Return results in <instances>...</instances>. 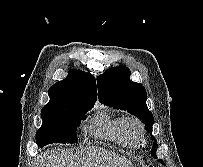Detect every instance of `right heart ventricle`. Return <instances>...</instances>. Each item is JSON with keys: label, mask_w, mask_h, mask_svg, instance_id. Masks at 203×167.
I'll use <instances>...</instances> for the list:
<instances>
[{"label": "right heart ventricle", "mask_w": 203, "mask_h": 167, "mask_svg": "<svg viewBox=\"0 0 203 167\" xmlns=\"http://www.w3.org/2000/svg\"><path fill=\"white\" fill-rule=\"evenodd\" d=\"M123 116L100 110L90 121L89 130L95 135L114 140L122 145H131L123 129Z\"/></svg>", "instance_id": "1"}]
</instances>
